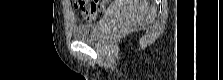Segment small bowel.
I'll use <instances>...</instances> for the list:
<instances>
[{"instance_id":"obj_1","label":"small bowel","mask_w":223,"mask_h":80,"mask_svg":"<svg viewBox=\"0 0 223 80\" xmlns=\"http://www.w3.org/2000/svg\"><path fill=\"white\" fill-rule=\"evenodd\" d=\"M106 3L107 2L103 1L101 3V5H100L101 7L99 9H97L96 12L93 15H91L90 17H87V19H94L97 15H99L100 13H102V11L104 10V8L106 6Z\"/></svg>"}]
</instances>
